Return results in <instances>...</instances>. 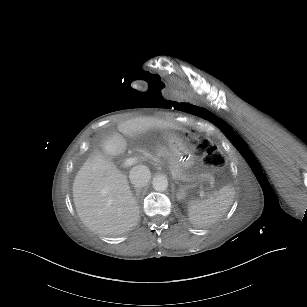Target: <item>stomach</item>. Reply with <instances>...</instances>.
<instances>
[{"instance_id": "stomach-1", "label": "stomach", "mask_w": 307, "mask_h": 307, "mask_svg": "<svg viewBox=\"0 0 307 307\" xmlns=\"http://www.w3.org/2000/svg\"><path fill=\"white\" fill-rule=\"evenodd\" d=\"M172 158L177 164L180 176L177 179L184 182H193L198 178L195 170V148L189 139L180 135H173L169 140Z\"/></svg>"}]
</instances>
